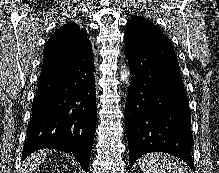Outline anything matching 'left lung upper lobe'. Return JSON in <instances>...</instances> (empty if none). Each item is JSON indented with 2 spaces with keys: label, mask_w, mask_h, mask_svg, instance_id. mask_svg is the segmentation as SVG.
<instances>
[{
  "label": "left lung upper lobe",
  "mask_w": 219,
  "mask_h": 173,
  "mask_svg": "<svg viewBox=\"0 0 219 173\" xmlns=\"http://www.w3.org/2000/svg\"><path fill=\"white\" fill-rule=\"evenodd\" d=\"M125 39L170 42L158 26L141 16L133 15L126 24Z\"/></svg>",
  "instance_id": "5c2ea615"
}]
</instances>
